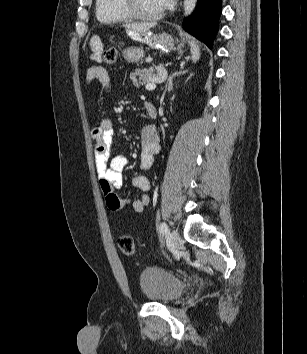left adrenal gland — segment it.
<instances>
[{
	"mask_svg": "<svg viewBox=\"0 0 307 354\" xmlns=\"http://www.w3.org/2000/svg\"><path fill=\"white\" fill-rule=\"evenodd\" d=\"M187 72L188 70H183V71L175 72L172 75H170L168 79V88H167L168 92L173 90V78L176 76L184 75Z\"/></svg>",
	"mask_w": 307,
	"mask_h": 354,
	"instance_id": "a2214340",
	"label": "left adrenal gland"
}]
</instances>
